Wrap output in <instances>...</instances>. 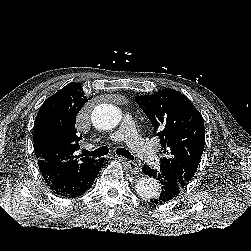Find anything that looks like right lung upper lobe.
Here are the masks:
<instances>
[{
	"label": "right lung upper lobe",
	"mask_w": 251,
	"mask_h": 251,
	"mask_svg": "<svg viewBox=\"0 0 251 251\" xmlns=\"http://www.w3.org/2000/svg\"><path fill=\"white\" fill-rule=\"evenodd\" d=\"M81 84L70 83L44 101L34 123V151L45 181L93 167L98 159L77 155L76 116L89 100Z\"/></svg>",
	"instance_id": "obj_1"
}]
</instances>
